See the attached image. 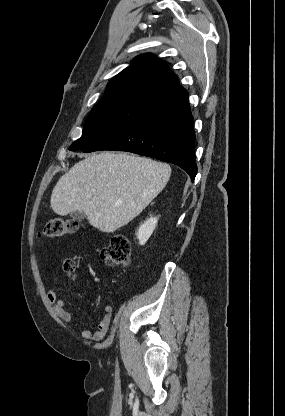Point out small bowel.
<instances>
[{"instance_id":"obj_1","label":"small bowel","mask_w":285,"mask_h":416,"mask_svg":"<svg viewBox=\"0 0 285 416\" xmlns=\"http://www.w3.org/2000/svg\"><path fill=\"white\" fill-rule=\"evenodd\" d=\"M47 299L51 303L53 312L58 318V320L67 327H71L72 315L66 309L65 302L57 296L56 287L52 286L47 292ZM113 314V307L111 305H106L103 310V317L100 320L97 330L91 332L89 329H84L81 333V336L85 340L90 341H101L105 338Z\"/></svg>"}]
</instances>
